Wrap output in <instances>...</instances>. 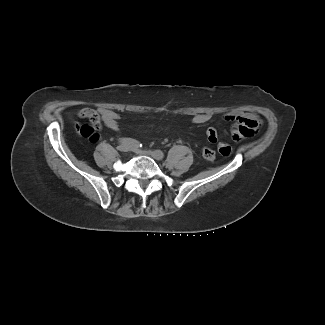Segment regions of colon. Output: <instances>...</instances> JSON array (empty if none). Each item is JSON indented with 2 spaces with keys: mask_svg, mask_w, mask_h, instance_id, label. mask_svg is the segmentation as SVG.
Wrapping results in <instances>:
<instances>
[{
  "mask_svg": "<svg viewBox=\"0 0 325 325\" xmlns=\"http://www.w3.org/2000/svg\"><path fill=\"white\" fill-rule=\"evenodd\" d=\"M80 132L82 136L90 139L91 141H96L98 139V134L90 124H85L81 127ZM203 157L208 161H214L216 159V153L209 147H203L202 149Z\"/></svg>",
  "mask_w": 325,
  "mask_h": 325,
  "instance_id": "obj_1",
  "label": "colon"
}]
</instances>
